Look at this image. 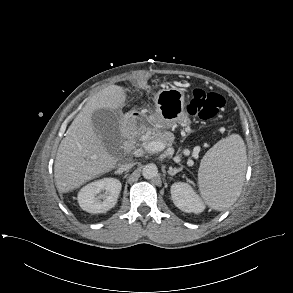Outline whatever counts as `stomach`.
I'll return each instance as SVG.
<instances>
[{
  "mask_svg": "<svg viewBox=\"0 0 293 293\" xmlns=\"http://www.w3.org/2000/svg\"><path fill=\"white\" fill-rule=\"evenodd\" d=\"M154 103L155 112L147 117L152 125L161 129L171 128L177 123L189 127L190 120L185 112V89H162L155 95Z\"/></svg>",
  "mask_w": 293,
  "mask_h": 293,
  "instance_id": "1",
  "label": "stomach"
}]
</instances>
